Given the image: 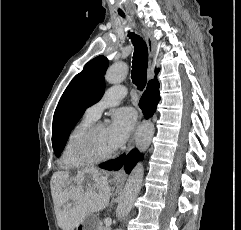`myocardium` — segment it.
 <instances>
[{"label": "myocardium", "instance_id": "1", "mask_svg": "<svg viewBox=\"0 0 241 230\" xmlns=\"http://www.w3.org/2000/svg\"><path fill=\"white\" fill-rule=\"evenodd\" d=\"M101 125L100 122L91 123L78 137L75 144V155L79 161L85 164H94L106 161L114 156V150L104 154H97L93 149V138L96 130Z\"/></svg>", "mask_w": 241, "mask_h": 230}]
</instances>
